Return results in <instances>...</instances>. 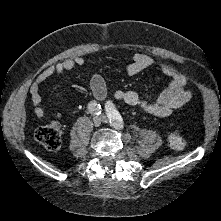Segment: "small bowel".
<instances>
[{"label": "small bowel", "mask_w": 221, "mask_h": 221, "mask_svg": "<svg viewBox=\"0 0 221 221\" xmlns=\"http://www.w3.org/2000/svg\"><path fill=\"white\" fill-rule=\"evenodd\" d=\"M84 64L80 56L67 58L41 72L30 87L31 102L36 115L40 119L46 118V113L41 107L40 89L42 84L50 77L70 71ZM154 64L153 58L143 53H135L132 61L126 66L129 75H136ZM161 72L170 79L168 87L154 100L142 98L135 91L114 90L113 96L130 106H135L147 114L158 117L171 115L174 111L186 104L192 97L188 89L187 76L170 65H162ZM90 88L93 96L98 101H104L108 96V89L104 78L99 73H94L90 78Z\"/></svg>", "instance_id": "c3829d8e"}]
</instances>
